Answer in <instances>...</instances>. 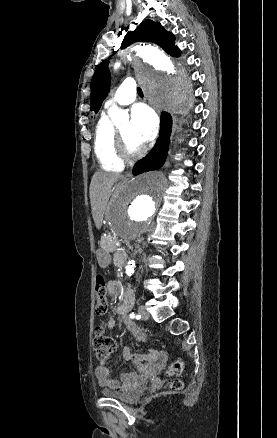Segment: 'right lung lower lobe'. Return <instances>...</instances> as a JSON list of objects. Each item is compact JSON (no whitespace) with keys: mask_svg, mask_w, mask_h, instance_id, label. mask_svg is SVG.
Listing matches in <instances>:
<instances>
[{"mask_svg":"<svg viewBox=\"0 0 277 438\" xmlns=\"http://www.w3.org/2000/svg\"><path fill=\"white\" fill-rule=\"evenodd\" d=\"M160 128V137L154 148L146 157L135 164L133 168L134 175L157 170L165 163L169 149V137L172 130V117L170 114L166 112L162 113Z\"/></svg>","mask_w":277,"mask_h":438,"instance_id":"right-lung-lower-lobe-1","label":"right lung lower lobe"}]
</instances>
